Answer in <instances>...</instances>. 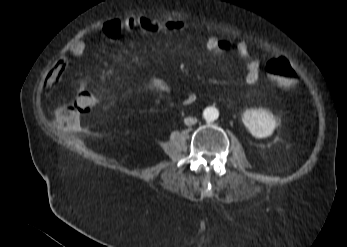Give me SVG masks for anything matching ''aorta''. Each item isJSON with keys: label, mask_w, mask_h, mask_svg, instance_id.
<instances>
[{"label": "aorta", "mask_w": 347, "mask_h": 247, "mask_svg": "<svg viewBox=\"0 0 347 247\" xmlns=\"http://www.w3.org/2000/svg\"><path fill=\"white\" fill-rule=\"evenodd\" d=\"M203 117L207 121H214V120H216L218 118V111L213 109V108H207L203 112Z\"/></svg>", "instance_id": "1"}]
</instances>
